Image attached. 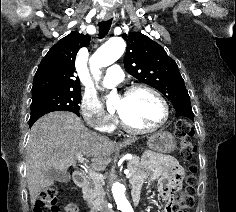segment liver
Returning <instances> with one entry per match:
<instances>
[{"label": "liver", "instance_id": "1", "mask_svg": "<svg viewBox=\"0 0 236 212\" xmlns=\"http://www.w3.org/2000/svg\"><path fill=\"white\" fill-rule=\"evenodd\" d=\"M134 141L113 142L87 129L71 112L56 111L44 115L32 126L26 149V177L32 207L39 193L53 185V180L46 176L49 169L66 172L76 163L77 156L82 155L91 157L94 170H101L108 165L115 150Z\"/></svg>", "mask_w": 236, "mask_h": 212}]
</instances>
